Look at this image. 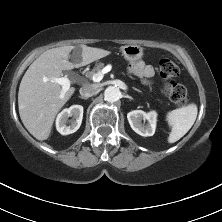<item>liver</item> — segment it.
I'll return each mask as SVG.
<instances>
[{"instance_id": "liver-1", "label": "liver", "mask_w": 222, "mask_h": 222, "mask_svg": "<svg viewBox=\"0 0 222 222\" xmlns=\"http://www.w3.org/2000/svg\"><path fill=\"white\" fill-rule=\"evenodd\" d=\"M74 63L68 60L75 46H62L42 53L27 69L19 87V114L25 128L38 140H46L57 113L71 98L75 88L71 87L62 96V88L52 78L62 76L63 70L88 65L106 57L110 51L80 45Z\"/></svg>"}]
</instances>
